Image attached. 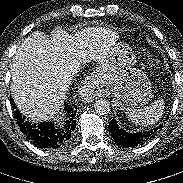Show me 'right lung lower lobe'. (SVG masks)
Here are the masks:
<instances>
[{"label":"right lung lower lobe","instance_id":"98d812e1","mask_svg":"<svg viewBox=\"0 0 183 183\" xmlns=\"http://www.w3.org/2000/svg\"><path fill=\"white\" fill-rule=\"evenodd\" d=\"M11 102L13 108L16 109L13 100H11ZM64 110L68 120L65 122L63 128H56L51 122L32 124L25 120L24 116H22L18 110H15V117L21 132L31 140L32 143L40 148L57 149L68 143L72 131L76 127V121L74 120L76 112L68 105H65Z\"/></svg>","mask_w":183,"mask_h":183}]
</instances>
